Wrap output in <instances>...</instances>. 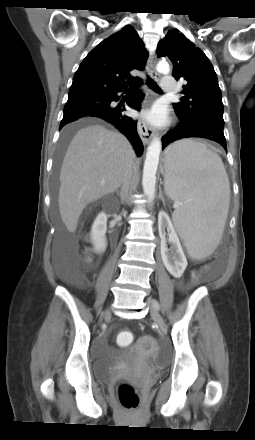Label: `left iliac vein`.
<instances>
[{
    "instance_id": "obj_1",
    "label": "left iliac vein",
    "mask_w": 255,
    "mask_h": 440,
    "mask_svg": "<svg viewBox=\"0 0 255 440\" xmlns=\"http://www.w3.org/2000/svg\"><path fill=\"white\" fill-rule=\"evenodd\" d=\"M147 304L150 308V314L152 319L156 322V324L159 326L160 330H165V322L163 320V317L158 312V308L153 304L152 300H148Z\"/></svg>"
}]
</instances>
